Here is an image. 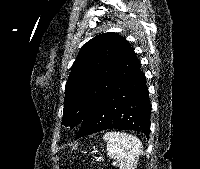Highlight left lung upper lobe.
Returning <instances> with one entry per match:
<instances>
[{"label":"left lung upper lobe","instance_id":"left-lung-upper-lobe-1","mask_svg":"<svg viewBox=\"0 0 200 169\" xmlns=\"http://www.w3.org/2000/svg\"><path fill=\"white\" fill-rule=\"evenodd\" d=\"M140 62L129 42L116 33H102L88 41L72 65L65 87L62 124L74 127L94 105L119 87Z\"/></svg>","mask_w":200,"mask_h":169}]
</instances>
